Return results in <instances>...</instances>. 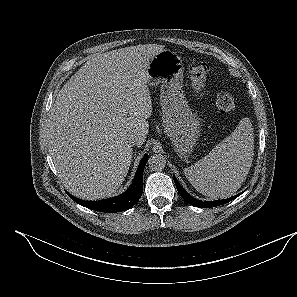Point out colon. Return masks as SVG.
I'll use <instances>...</instances> for the list:
<instances>
[{"label":"colon","mask_w":297,"mask_h":297,"mask_svg":"<svg viewBox=\"0 0 297 297\" xmlns=\"http://www.w3.org/2000/svg\"><path fill=\"white\" fill-rule=\"evenodd\" d=\"M210 66L205 61H200L193 64L189 70L191 81V88L193 92L200 98H205V80L209 72ZM212 106L221 113L232 112L237 107L236 98L229 93L217 94L213 101Z\"/></svg>","instance_id":"5ec220e1"}]
</instances>
